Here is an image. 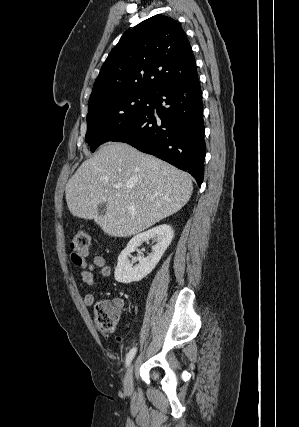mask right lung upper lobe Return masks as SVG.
Instances as JSON below:
<instances>
[{"mask_svg": "<svg viewBox=\"0 0 299 427\" xmlns=\"http://www.w3.org/2000/svg\"><path fill=\"white\" fill-rule=\"evenodd\" d=\"M197 75L190 43L178 21L155 15L128 31L111 50L89 105L123 92L155 93Z\"/></svg>", "mask_w": 299, "mask_h": 427, "instance_id": "1", "label": "right lung upper lobe"}]
</instances>
